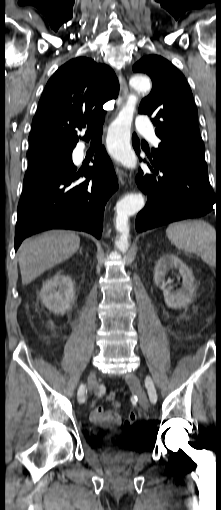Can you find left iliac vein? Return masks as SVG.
Returning a JSON list of instances; mask_svg holds the SVG:
<instances>
[{"mask_svg": "<svg viewBox=\"0 0 221 510\" xmlns=\"http://www.w3.org/2000/svg\"><path fill=\"white\" fill-rule=\"evenodd\" d=\"M126 379V382L129 384V386L135 391V393L137 394L138 396V399H139V403L141 405V407L144 409V410H148L149 408V400H148V397H147V394L141 384V381L139 379V377L137 375H135L134 373H129L126 375L125 377ZM151 382L153 384V391L156 392L155 390V386H154V383L151 379Z\"/></svg>", "mask_w": 221, "mask_h": 510, "instance_id": "obj_1", "label": "left iliac vein"}]
</instances>
